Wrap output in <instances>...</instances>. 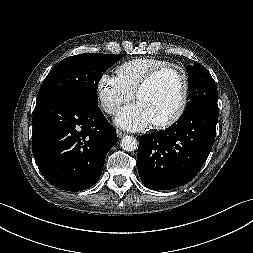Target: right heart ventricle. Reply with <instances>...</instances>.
I'll return each instance as SVG.
<instances>
[{
    "instance_id": "obj_1",
    "label": "right heart ventricle",
    "mask_w": 253,
    "mask_h": 253,
    "mask_svg": "<svg viewBox=\"0 0 253 253\" xmlns=\"http://www.w3.org/2000/svg\"><path fill=\"white\" fill-rule=\"evenodd\" d=\"M169 65L168 62L149 57H139L119 65L115 72L119 82L132 94L151 71Z\"/></svg>"
}]
</instances>
